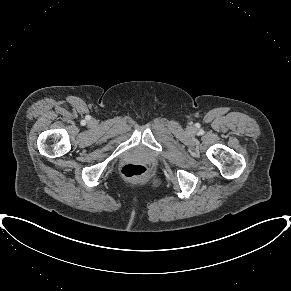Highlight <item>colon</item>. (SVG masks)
<instances>
[{"label": "colon", "mask_w": 291, "mask_h": 291, "mask_svg": "<svg viewBox=\"0 0 291 291\" xmlns=\"http://www.w3.org/2000/svg\"><path fill=\"white\" fill-rule=\"evenodd\" d=\"M122 173L129 179H143L147 174V169L139 164H126L122 168Z\"/></svg>", "instance_id": "1"}]
</instances>
